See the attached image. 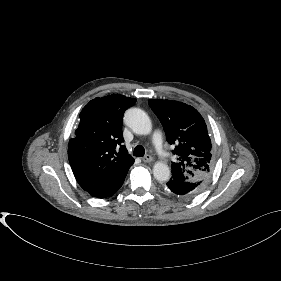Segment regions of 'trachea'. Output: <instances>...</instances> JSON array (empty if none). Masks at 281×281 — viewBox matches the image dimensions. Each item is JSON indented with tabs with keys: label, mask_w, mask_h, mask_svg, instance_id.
Here are the masks:
<instances>
[{
	"label": "trachea",
	"mask_w": 281,
	"mask_h": 281,
	"mask_svg": "<svg viewBox=\"0 0 281 281\" xmlns=\"http://www.w3.org/2000/svg\"><path fill=\"white\" fill-rule=\"evenodd\" d=\"M145 154V149L142 145H137L135 148H134V152H133V155L136 156V157H143Z\"/></svg>",
	"instance_id": "trachea-1"
}]
</instances>
